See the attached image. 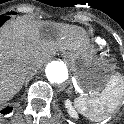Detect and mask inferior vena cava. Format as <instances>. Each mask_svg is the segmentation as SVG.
Returning a JSON list of instances; mask_svg holds the SVG:
<instances>
[{"label":"inferior vena cava","mask_w":124,"mask_h":124,"mask_svg":"<svg viewBox=\"0 0 124 124\" xmlns=\"http://www.w3.org/2000/svg\"><path fill=\"white\" fill-rule=\"evenodd\" d=\"M28 69H29L30 71H35V70L37 69V64H36L35 62H30V63L28 64Z\"/></svg>","instance_id":"602c4592"}]
</instances>
